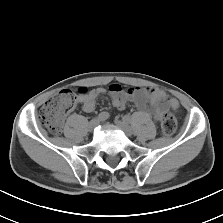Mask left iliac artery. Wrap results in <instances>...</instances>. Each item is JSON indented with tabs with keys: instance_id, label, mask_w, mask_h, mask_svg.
Masks as SVG:
<instances>
[{
	"instance_id": "obj_1",
	"label": "left iliac artery",
	"mask_w": 223,
	"mask_h": 223,
	"mask_svg": "<svg viewBox=\"0 0 223 223\" xmlns=\"http://www.w3.org/2000/svg\"><path fill=\"white\" fill-rule=\"evenodd\" d=\"M123 120L128 121L129 123H132V121H131V119H130L129 116H125V117L123 118Z\"/></svg>"
}]
</instances>
